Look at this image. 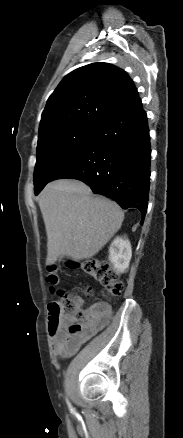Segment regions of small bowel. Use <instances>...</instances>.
Wrapping results in <instances>:
<instances>
[{"label": "small bowel", "mask_w": 183, "mask_h": 438, "mask_svg": "<svg viewBox=\"0 0 183 438\" xmlns=\"http://www.w3.org/2000/svg\"><path fill=\"white\" fill-rule=\"evenodd\" d=\"M112 317L109 304L98 302L87 311V320L78 334L68 332L69 319H65L55 332H52L53 351L57 356L66 357L76 352L79 347L106 327Z\"/></svg>", "instance_id": "c3829d8e"}]
</instances>
